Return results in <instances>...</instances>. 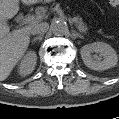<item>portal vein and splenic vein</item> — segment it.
Segmentation results:
<instances>
[{
    "label": "portal vein and splenic vein",
    "mask_w": 119,
    "mask_h": 119,
    "mask_svg": "<svg viewBox=\"0 0 119 119\" xmlns=\"http://www.w3.org/2000/svg\"><path fill=\"white\" fill-rule=\"evenodd\" d=\"M75 18L72 19V21L74 20ZM36 18L34 16H28L24 19V23H33L35 22Z\"/></svg>",
    "instance_id": "portal-vein-and-splenic-vein-1"
}]
</instances>
